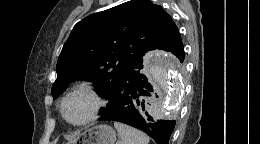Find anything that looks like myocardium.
<instances>
[{"label": "myocardium", "instance_id": "obj_1", "mask_svg": "<svg viewBox=\"0 0 260 144\" xmlns=\"http://www.w3.org/2000/svg\"><path fill=\"white\" fill-rule=\"evenodd\" d=\"M79 92H84V93L88 94L89 97L93 101V106H92L91 112L89 113V115L84 120H82L80 122H72L66 117L64 107H65L66 101L71 96H73L74 94L79 93ZM102 106H103V102H102V99H101L98 91L96 90V88L88 82H82V83H79V84L75 85L74 87H72L64 95V97L61 100L60 111H61V115H62L63 119L68 124H70L72 126H83V125H86V124L92 122L94 119H96V117L98 116Z\"/></svg>", "mask_w": 260, "mask_h": 144}]
</instances>
